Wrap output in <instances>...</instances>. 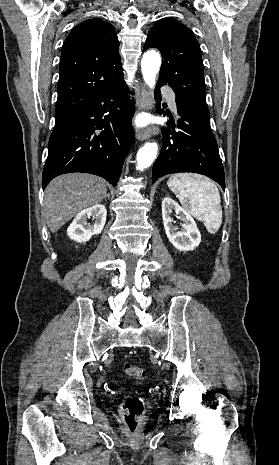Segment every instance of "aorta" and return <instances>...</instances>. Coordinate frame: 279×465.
I'll use <instances>...</instances> for the list:
<instances>
[{
    "instance_id": "1",
    "label": "aorta",
    "mask_w": 279,
    "mask_h": 465,
    "mask_svg": "<svg viewBox=\"0 0 279 465\" xmlns=\"http://www.w3.org/2000/svg\"><path fill=\"white\" fill-rule=\"evenodd\" d=\"M161 66V57L159 53L155 51H148L143 55L141 60V70L145 83L153 88L156 83V76ZM158 152V145L156 142H147L137 153V167L139 171H143L148 168Z\"/></svg>"
}]
</instances>
